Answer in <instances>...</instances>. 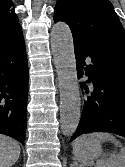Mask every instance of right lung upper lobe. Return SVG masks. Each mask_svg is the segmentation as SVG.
I'll return each mask as SVG.
<instances>
[{"label":"right lung upper lobe","mask_w":125,"mask_h":167,"mask_svg":"<svg viewBox=\"0 0 125 167\" xmlns=\"http://www.w3.org/2000/svg\"><path fill=\"white\" fill-rule=\"evenodd\" d=\"M11 0H0V37L21 32L19 20L14 12Z\"/></svg>","instance_id":"right-lung-upper-lobe-1"}]
</instances>
